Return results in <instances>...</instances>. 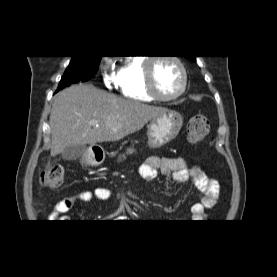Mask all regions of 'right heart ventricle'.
I'll use <instances>...</instances> for the list:
<instances>
[{
  "label": "right heart ventricle",
  "mask_w": 277,
  "mask_h": 277,
  "mask_svg": "<svg viewBox=\"0 0 277 277\" xmlns=\"http://www.w3.org/2000/svg\"><path fill=\"white\" fill-rule=\"evenodd\" d=\"M144 56L127 58L118 71V86L121 94L129 99L140 102H151L154 98L145 88Z\"/></svg>",
  "instance_id": "right-heart-ventricle-1"
}]
</instances>
